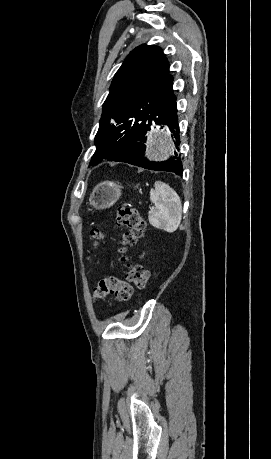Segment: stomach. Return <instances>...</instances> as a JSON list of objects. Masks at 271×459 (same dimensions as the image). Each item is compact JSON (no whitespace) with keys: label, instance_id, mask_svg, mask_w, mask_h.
I'll return each instance as SVG.
<instances>
[{"label":"stomach","instance_id":"1","mask_svg":"<svg viewBox=\"0 0 271 459\" xmlns=\"http://www.w3.org/2000/svg\"><path fill=\"white\" fill-rule=\"evenodd\" d=\"M122 186H118L115 182H101L95 186L90 194L89 206L95 210H105L111 208L121 196Z\"/></svg>","mask_w":271,"mask_h":459}]
</instances>
